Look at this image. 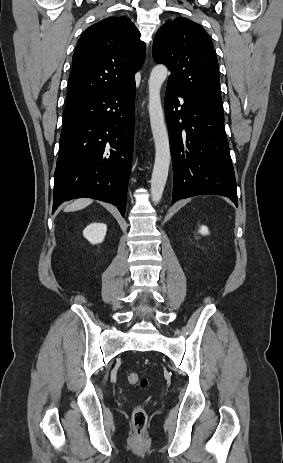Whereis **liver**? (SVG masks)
Segmentation results:
<instances>
[{
    "mask_svg": "<svg viewBox=\"0 0 283 463\" xmlns=\"http://www.w3.org/2000/svg\"><path fill=\"white\" fill-rule=\"evenodd\" d=\"M92 202H93V200L89 199V198L77 199L74 202H72L71 204L67 205L64 208V211L65 212H72V211L81 210V209L87 207L88 205H90Z\"/></svg>",
    "mask_w": 283,
    "mask_h": 463,
    "instance_id": "obj_1",
    "label": "liver"
}]
</instances>
